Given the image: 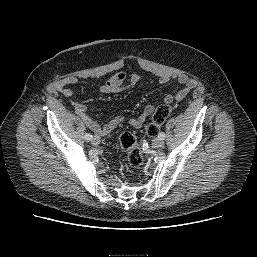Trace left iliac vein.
Instances as JSON below:
<instances>
[{"label": "left iliac vein", "mask_w": 257, "mask_h": 257, "mask_svg": "<svg viewBox=\"0 0 257 257\" xmlns=\"http://www.w3.org/2000/svg\"><path fill=\"white\" fill-rule=\"evenodd\" d=\"M153 148L155 149H162L164 147V141L161 139H156L152 143Z\"/></svg>", "instance_id": "4c4485c4"}]
</instances>
